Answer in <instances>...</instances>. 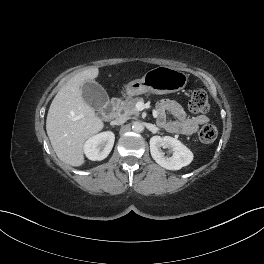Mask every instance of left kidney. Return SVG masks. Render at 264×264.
<instances>
[{
    "instance_id": "1",
    "label": "left kidney",
    "mask_w": 264,
    "mask_h": 264,
    "mask_svg": "<svg viewBox=\"0 0 264 264\" xmlns=\"http://www.w3.org/2000/svg\"><path fill=\"white\" fill-rule=\"evenodd\" d=\"M162 149H169L171 156H166ZM152 158L161 167L168 170H179L193 160L192 152L179 140L170 136H153L150 139Z\"/></svg>"
}]
</instances>
